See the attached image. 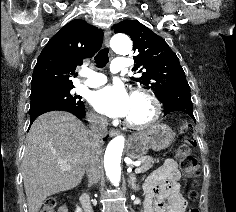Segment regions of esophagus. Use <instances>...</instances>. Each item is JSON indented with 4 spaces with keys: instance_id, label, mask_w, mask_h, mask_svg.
Returning <instances> with one entry per match:
<instances>
[{
    "instance_id": "34e87169",
    "label": "esophagus",
    "mask_w": 236,
    "mask_h": 212,
    "mask_svg": "<svg viewBox=\"0 0 236 212\" xmlns=\"http://www.w3.org/2000/svg\"><path fill=\"white\" fill-rule=\"evenodd\" d=\"M110 37H111V30L110 29L105 30V32H104V43L107 47H109ZM118 134H119V130H117V129L112 128L109 131V135L112 136V137L116 136Z\"/></svg>"
}]
</instances>
